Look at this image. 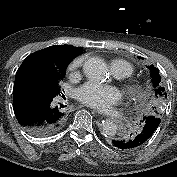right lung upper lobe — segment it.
<instances>
[{
  "instance_id": "obj_1",
  "label": "right lung upper lobe",
  "mask_w": 177,
  "mask_h": 177,
  "mask_svg": "<svg viewBox=\"0 0 177 177\" xmlns=\"http://www.w3.org/2000/svg\"><path fill=\"white\" fill-rule=\"evenodd\" d=\"M81 52V47L54 45L32 53L17 70L14 86H18L20 80L30 74L48 75L60 72Z\"/></svg>"
}]
</instances>
